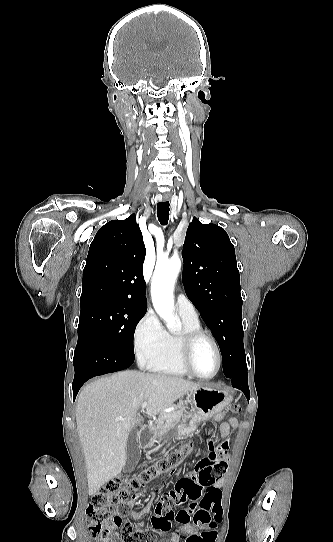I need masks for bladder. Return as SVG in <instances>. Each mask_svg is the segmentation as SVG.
Returning <instances> with one entry per match:
<instances>
[{"label":"bladder","mask_w":333,"mask_h":542,"mask_svg":"<svg viewBox=\"0 0 333 542\" xmlns=\"http://www.w3.org/2000/svg\"><path fill=\"white\" fill-rule=\"evenodd\" d=\"M164 542H170V541H168V540H165Z\"/></svg>","instance_id":"1"}]
</instances>
